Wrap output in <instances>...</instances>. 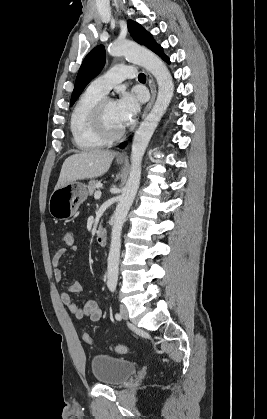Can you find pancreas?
<instances>
[{
	"label": "pancreas",
	"instance_id": "cf45deb5",
	"mask_svg": "<svg viewBox=\"0 0 267 419\" xmlns=\"http://www.w3.org/2000/svg\"><path fill=\"white\" fill-rule=\"evenodd\" d=\"M99 181L97 180H90L88 183V194L90 196L93 195L94 191L96 190L97 186L99 185Z\"/></svg>",
	"mask_w": 267,
	"mask_h": 419
}]
</instances>
